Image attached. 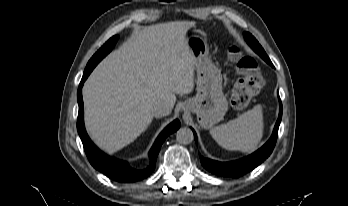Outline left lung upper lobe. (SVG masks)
<instances>
[{"label": "left lung upper lobe", "instance_id": "5c2ea615", "mask_svg": "<svg viewBox=\"0 0 348 206\" xmlns=\"http://www.w3.org/2000/svg\"><path fill=\"white\" fill-rule=\"evenodd\" d=\"M244 37L247 43L254 49L255 52H257L268 64L273 65L264 49L250 33L244 32Z\"/></svg>", "mask_w": 348, "mask_h": 206}]
</instances>
